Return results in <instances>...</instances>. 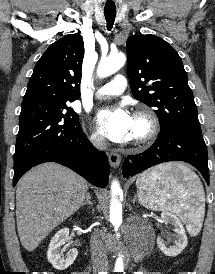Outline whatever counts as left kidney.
Wrapping results in <instances>:
<instances>
[{
    "label": "left kidney",
    "mask_w": 215,
    "mask_h": 274,
    "mask_svg": "<svg viewBox=\"0 0 215 274\" xmlns=\"http://www.w3.org/2000/svg\"><path fill=\"white\" fill-rule=\"evenodd\" d=\"M161 218L165 224H169L174 227V234L172 236L174 237L175 241L173 245H170V239L168 235H163V237H157V245L165 255L175 257L179 255L187 246L188 240L185 229L179 218L173 213L164 211L161 213Z\"/></svg>",
    "instance_id": "left-kidney-1"
}]
</instances>
